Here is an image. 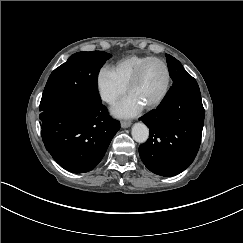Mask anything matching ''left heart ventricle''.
<instances>
[{
  "label": "left heart ventricle",
  "instance_id": "b2bd125f",
  "mask_svg": "<svg viewBox=\"0 0 243 243\" xmlns=\"http://www.w3.org/2000/svg\"><path fill=\"white\" fill-rule=\"evenodd\" d=\"M167 82L168 75L165 67L157 61H152L146 65L139 80L129 90V94L146 105L163 94Z\"/></svg>",
  "mask_w": 243,
  "mask_h": 243
}]
</instances>
